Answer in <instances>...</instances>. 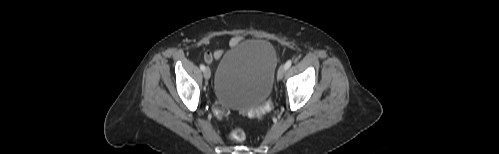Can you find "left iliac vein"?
Wrapping results in <instances>:
<instances>
[{"label":"left iliac vein","instance_id":"obj_1","mask_svg":"<svg viewBox=\"0 0 499 154\" xmlns=\"http://www.w3.org/2000/svg\"><path fill=\"white\" fill-rule=\"evenodd\" d=\"M285 72H286L285 65L280 66V68L278 69V72H277V79L281 80L283 78Z\"/></svg>","mask_w":499,"mask_h":154}]
</instances>
